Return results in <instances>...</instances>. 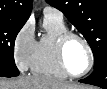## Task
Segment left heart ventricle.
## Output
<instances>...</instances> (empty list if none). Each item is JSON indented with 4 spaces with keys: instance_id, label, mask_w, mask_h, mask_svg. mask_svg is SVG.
Here are the masks:
<instances>
[{
    "instance_id": "b2bd125f",
    "label": "left heart ventricle",
    "mask_w": 107,
    "mask_h": 89,
    "mask_svg": "<svg viewBox=\"0 0 107 89\" xmlns=\"http://www.w3.org/2000/svg\"><path fill=\"white\" fill-rule=\"evenodd\" d=\"M65 60L69 71L82 73L89 64V55L84 44L78 39H71L65 50Z\"/></svg>"
}]
</instances>
